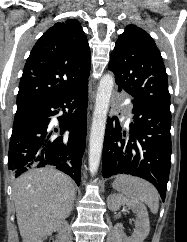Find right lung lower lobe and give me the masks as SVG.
I'll return each mask as SVG.
<instances>
[{
	"label": "right lung lower lobe",
	"mask_w": 187,
	"mask_h": 242,
	"mask_svg": "<svg viewBox=\"0 0 187 242\" xmlns=\"http://www.w3.org/2000/svg\"><path fill=\"white\" fill-rule=\"evenodd\" d=\"M87 98L88 82L17 108L8 153V169L12 176L52 165L80 184L86 145ZM60 110L64 114L58 117L60 133L56 136L49 123L50 117Z\"/></svg>",
	"instance_id": "1"
}]
</instances>
